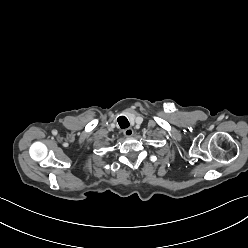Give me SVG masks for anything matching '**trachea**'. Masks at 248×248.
<instances>
[{
    "mask_svg": "<svg viewBox=\"0 0 248 248\" xmlns=\"http://www.w3.org/2000/svg\"><path fill=\"white\" fill-rule=\"evenodd\" d=\"M117 121L122 129L129 127V122L126 117L121 116L117 119Z\"/></svg>",
    "mask_w": 248,
    "mask_h": 248,
    "instance_id": "obj_1",
    "label": "trachea"
}]
</instances>
